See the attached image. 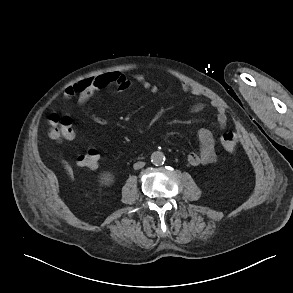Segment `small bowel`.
<instances>
[{"instance_id": "obj_1", "label": "small bowel", "mask_w": 293, "mask_h": 293, "mask_svg": "<svg viewBox=\"0 0 293 293\" xmlns=\"http://www.w3.org/2000/svg\"><path fill=\"white\" fill-rule=\"evenodd\" d=\"M136 81L140 83L144 89L149 90L153 94L157 93L158 87L151 84L145 76L138 75ZM130 85V80L120 72L102 73L84 78L68 87L64 92V96L66 98L75 97V102L82 105L88 102L93 95L100 90L112 89L114 92H122L128 89ZM180 88L182 91L189 92L194 96L204 95L201 88L190 85L184 81L180 83ZM207 107L208 106L205 103H198L192 107L191 111L193 113H200L207 109ZM216 110L217 123L220 127H224L227 124L226 111L221 106H217ZM92 119L98 125L104 126L107 124V121L98 115H93ZM197 138L199 141V151L188 154L187 160L189 164L198 166L215 162L217 154L212 132L206 128L199 129L197 132Z\"/></svg>"}]
</instances>
